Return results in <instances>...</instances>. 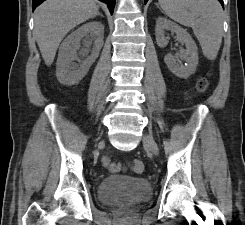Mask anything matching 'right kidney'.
Returning <instances> with one entry per match:
<instances>
[{"instance_id":"right-kidney-1","label":"right kidney","mask_w":245,"mask_h":225,"mask_svg":"<svg viewBox=\"0 0 245 225\" xmlns=\"http://www.w3.org/2000/svg\"><path fill=\"white\" fill-rule=\"evenodd\" d=\"M103 38L104 26L101 22L96 21L82 25L66 37L59 48L56 63V76L60 83L69 86L75 85L87 74L103 46ZM81 40L86 48L81 50L80 57L87 56L88 48L94 41L92 55L84 61H80L77 54ZM74 61H79L80 65Z\"/></svg>"}]
</instances>
